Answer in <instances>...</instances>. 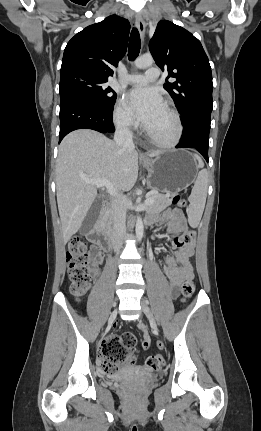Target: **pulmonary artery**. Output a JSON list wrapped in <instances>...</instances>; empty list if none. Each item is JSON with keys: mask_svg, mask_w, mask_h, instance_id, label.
Listing matches in <instances>:
<instances>
[{"mask_svg": "<svg viewBox=\"0 0 261 431\" xmlns=\"http://www.w3.org/2000/svg\"><path fill=\"white\" fill-rule=\"evenodd\" d=\"M160 71L158 68H149L145 74H129L124 78V81L131 85H144L148 82L155 81L159 78Z\"/></svg>", "mask_w": 261, "mask_h": 431, "instance_id": "e3ab8cb5", "label": "pulmonary artery"}]
</instances>
